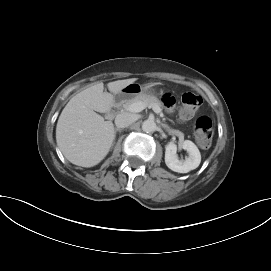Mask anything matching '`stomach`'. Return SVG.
I'll use <instances>...</instances> for the list:
<instances>
[{"label": "stomach", "mask_w": 271, "mask_h": 271, "mask_svg": "<svg viewBox=\"0 0 271 271\" xmlns=\"http://www.w3.org/2000/svg\"><path fill=\"white\" fill-rule=\"evenodd\" d=\"M156 84L154 82H148L144 85H140L138 83H131L124 87L119 93L116 94V97L120 100L134 98L140 94H154L153 87Z\"/></svg>", "instance_id": "0dacf381"}]
</instances>
